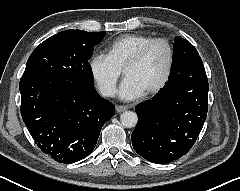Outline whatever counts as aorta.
<instances>
[{"mask_svg":"<svg viewBox=\"0 0 240 191\" xmlns=\"http://www.w3.org/2000/svg\"><path fill=\"white\" fill-rule=\"evenodd\" d=\"M121 124L126 128L135 127L138 122L137 114L133 111H126L120 116Z\"/></svg>","mask_w":240,"mask_h":191,"instance_id":"1","label":"aorta"}]
</instances>
